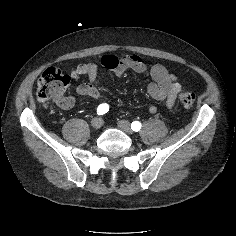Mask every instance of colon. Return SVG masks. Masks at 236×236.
Here are the masks:
<instances>
[{
	"instance_id": "colon-1",
	"label": "colon",
	"mask_w": 236,
	"mask_h": 236,
	"mask_svg": "<svg viewBox=\"0 0 236 236\" xmlns=\"http://www.w3.org/2000/svg\"><path fill=\"white\" fill-rule=\"evenodd\" d=\"M69 84L70 77L67 74L58 68L50 67L38 79L37 97L41 102L53 101L59 105ZM179 100L184 107H190L195 102V96L192 93H181Z\"/></svg>"
}]
</instances>
